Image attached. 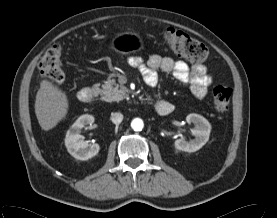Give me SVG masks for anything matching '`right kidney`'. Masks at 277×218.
Here are the masks:
<instances>
[{
    "label": "right kidney",
    "instance_id": "ca27d5eb",
    "mask_svg": "<svg viewBox=\"0 0 277 218\" xmlns=\"http://www.w3.org/2000/svg\"><path fill=\"white\" fill-rule=\"evenodd\" d=\"M94 117L89 114L81 115L69 128L65 137L67 151L78 160H88L98 154L100 146L97 143L89 144L80 135L81 129L86 125H92Z\"/></svg>",
    "mask_w": 277,
    "mask_h": 218
}]
</instances>
